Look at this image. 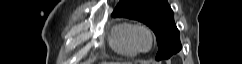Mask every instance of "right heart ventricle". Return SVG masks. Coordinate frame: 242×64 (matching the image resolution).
<instances>
[{
    "instance_id": "e07e8e85",
    "label": "right heart ventricle",
    "mask_w": 242,
    "mask_h": 64,
    "mask_svg": "<svg viewBox=\"0 0 242 64\" xmlns=\"http://www.w3.org/2000/svg\"><path fill=\"white\" fill-rule=\"evenodd\" d=\"M133 24L120 22L114 25L109 35V45L118 54L126 57H134L138 52L130 42L129 34Z\"/></svg>"
}]
</instances>
